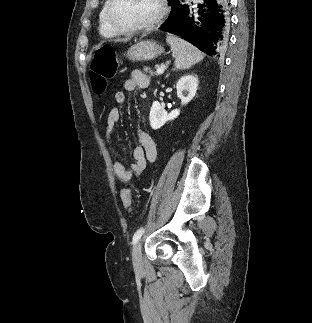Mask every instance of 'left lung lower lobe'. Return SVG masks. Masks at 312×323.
<instances>
[{"label":"left lung lower lobe","mask_w":312,"mask_h":323,"mask_svg":"<svg viewBox=\"0 0 312 323\" xmlns=\"http://www.w3.org/2000/svg\"><path fill=\"white\" fill-rule=\"evenodd\" d=\"M229 5L227 0H203L197 6L180 0L172 19L160 29L187 40L209 56L220 57L228 49Z\"/></svg>","instance_id":"0a47b994"}]
</instances>
